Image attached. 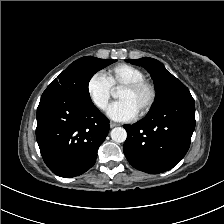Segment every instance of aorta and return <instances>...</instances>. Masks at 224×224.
Segmentation results:
<instances>
[{"label":"aorta","mask_w":224,"mask_h":224,"mask_svg":"<svg viewBox=\"0 0 224 224\" xmlns=\"http://www.w3.org/2000/svg\"><path fill=\"white\" fill-rule=\"evenodd\" d=\"M111 139L116 143H123L127 138V132L123 127H115L111 130Z\"/></svg>","instance_id":"762f6f07"}]
</instances>
